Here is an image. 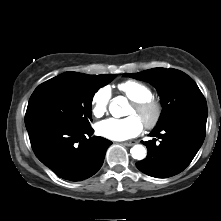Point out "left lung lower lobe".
<instances>
[{
	"label": "left lung lower lobe",
	"instance_id": "1",
	"mask_svg": "<svg viewBox=\"0 0 221 221\" xmlns=\"http://www.w3.org/2000/svg\"><path fill=\"white\" fill-rule=\"evenodd\" d=\"M207 111H193L175 117L164 126L154 128L145 142L146 159L136 163L143 173L155 178H168L182 172L193 160L206 134Z\"/></svg>",
	"mask_w": 221,
	"mask_h": 221
}]
</instances>
